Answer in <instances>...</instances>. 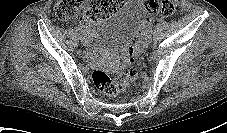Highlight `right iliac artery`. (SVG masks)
<instances>
[{
  "mask_svg": "<svg viewBox=\"0 0 227 133\" xmlns=\"http://www.w3.org/2000/svg\"><path fill=\"white\" fill-rule=\"evenodd\" d=\"M76 31L80 34V36L84 34V30L79 26L76 27Z\"/></svg>",
  "mask_w": 227,
  "mask_h": 133,
  "instance_id": "1",
  "label": "right iliac artery"
}]
</instances>
